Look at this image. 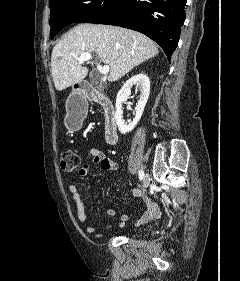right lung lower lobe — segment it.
Returning a JSON list of instances; mask_svg holds the SVG:
<instances>
[{
	"mask_svg": "<svg viewBox=\"0 0 240 281\" xmlns=\"http://www.w3.org/2000/svg\"><path fill=\"white\" fill-rule=\"evenodd\" d=\"M187 0H118L94 24L116 25L139 31L157 42L168 59L176 49L185 20Z\"/></svg>",
	"mask_w": 240,
	"mask_h": 281,
	"instance_id": "obj_1",
	"label": "right lung lower lobe"
}]
</instances>
